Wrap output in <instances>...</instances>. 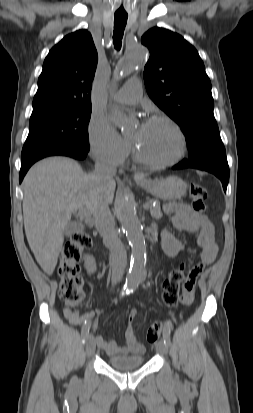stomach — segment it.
<instances>
[{"mask_svg":"<svg viewBox=\"0 0 253 413\" xmlns=\"http://www.w3.org/2000/svg\"><path fill=\"white\" fill-rule=\"evenodd\" d=\"M138 184L156 198L165 201L179 199L187 191V184L177 176L139 181Z\"/></svg>","mask_w":253,"mask_h":413,"instance_id":"obj_1","label":"stomach"}]
</instances>
